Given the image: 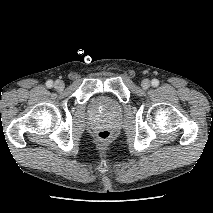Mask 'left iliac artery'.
I'll return each instance as SVG.
<instances>
[{"mask_svg": "<svg viewBox=\"0 0 213 213\" xmlns=\"http://www.w3.org/2000/svg\"><path fill=\"white\" fill-rule=\"evenodd\" d=\"M151 84H152L153 87H157L159 85V80L153 79Z\"/></svg>", "mask_w": 213, "mask_h": 213, "instance_id": "1", "label": "left iliac artery"}]
</instances>
